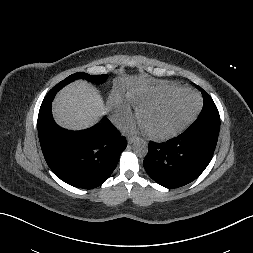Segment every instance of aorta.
<instances>
[{
  "mask_svg": "<svg viewBox=\"0 0 253 253\" xmlns=\"http://www.w3.org/2000/svg\"><path fill=\"white\" fill-rule=\"evenodd\" d=\"M133 151L138 157H145L148 153V144L145 140H137L133 145Z\"/></svg>",
  "mask_w": 253,
  "mask_h": 253,
  "instance_id": "1",
  "label": "aorta"
}]
</instances>
